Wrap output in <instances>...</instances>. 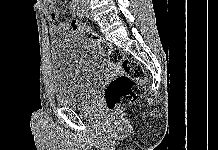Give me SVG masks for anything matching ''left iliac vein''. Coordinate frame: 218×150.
Here are the masks:
<instances>
[{"label":"left iliac vein","mask_w":218,"mask_h":150,"mask_svg":"<svg viewBox=\"0 0 218 150\" xmlns=\"http://www.w3.org/2000/svg\"><path fill=\"white\" fill-rule=\"evenodd\" d=\"M85 14H86V16H87L88 18L91 17V14H90V12H89L88 10L85 11Z\"/></svg>","instance_id":"4c4485c4"}]
</instances>
